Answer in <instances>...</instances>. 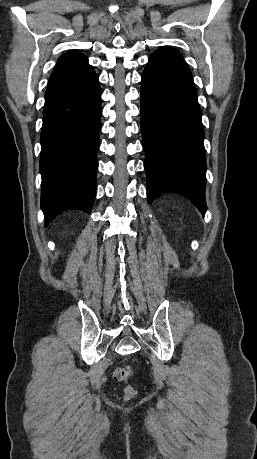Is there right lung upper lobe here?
Instances as JSON below:
<instances>
[{"instance_id": "cb5924a9", "label": "right lung upper lobe", "mask_w": 257, "mask_h": 459, "mask_svg": "<svg viewBox=\"0 0 257 459\" xmlns=\"http://www.w3.org/2000/svg\"><path fill=\"white\" fill-rule=\"evenodd\" d=\"M95 73L88 59L80 52L70 51L58 60L56 67L49 79L48 87L79 81Z\"/></svg>"}]
</instances>
